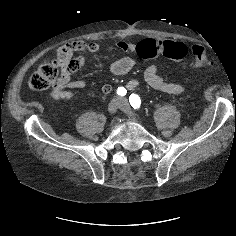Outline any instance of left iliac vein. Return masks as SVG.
Returning a JSON list of instances; mask_svg holds the SVG:
<instances>
[{
  "mask_svg": "<svg viewBox=\"0 0 236 236\" xmlns=\"http://www.w3.org/2000/svg\"><path fill=\"white\" fill-rule=\"evenodd\" d=\"M121 106L120 109L132 120L137 121V116L132 112L127 100L125 98L120 100Z\"/></svg>",
  "mask_w": 236,
  "mask_h": 236,
  "instance_id": "obj_1",
  "label": "left iliac vein"
}]
</instances>
